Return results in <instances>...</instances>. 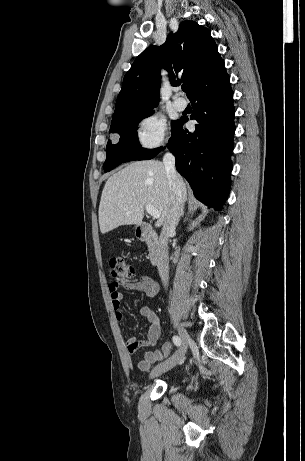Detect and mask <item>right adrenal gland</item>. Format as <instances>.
Here are the masks:
<instances>
[{
    "mask_svg": "<svg viewBox=\"0 0 305 461\" xmlns=\"http://www.w3.org/2000/svg\"><path fill=\"white\" fill-rule=\"evenodd\" d=\"M181 217H184V210H183L182 213H181Z\"/></svg>",
    "mask_w": 305,
    "mask_h": 461,
    "instance_id": "obj_1",
    "label": "right adrenal gland"
}]
</instances>
